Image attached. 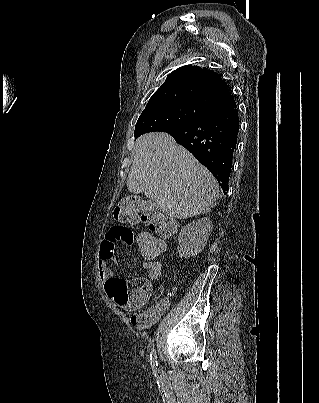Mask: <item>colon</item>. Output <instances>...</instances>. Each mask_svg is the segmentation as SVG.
I'll list each match as a JSON object with an SVG mask.
<instances>
[{
    "label": "colon",
    "mask_w": 319,
    "mask_h": 403,
    "mask_svg": "<svg viewBox=\"0 0 319 403\" xmlns=\"http://www.w3.org/2000/svg\"><path fill=\"white\" fill-rule=\"evenodd\" d=\"M141 199L140 192H129L127 197H120L114 209V217L130 223H146L149 229H136L133 238L135 248L139 249L138 257L162 258L167 251L165 239L175 233L177 226L171 218L161 214L158 208H151L150 201Z\"/></svg>",
    "instance_id": "5ec220e1"
}]
</instances>
